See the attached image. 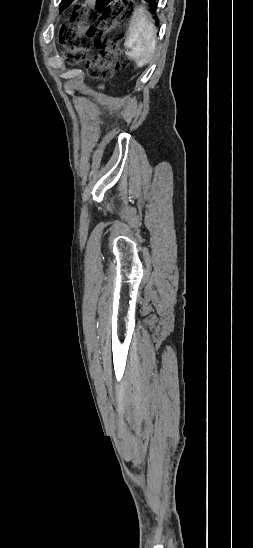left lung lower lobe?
<instances>
[{"instance_id":"left-lung-lower-lobe-1","label":"left lung lower lobe","mask_w":253,"mask_h":548,"mask_svg":"<svg viewBox=\"0 0 253 548\" xmlns=\"http://www.w3.org/2000/svg\"><path fill=\"white\" fill-rule=\"evenodd\" d=\"M73 0H62L60 4V10H64L68 5L72 3ZM147 1L153 9H156V0H145Z\"/></svg>"}]
</instances>
